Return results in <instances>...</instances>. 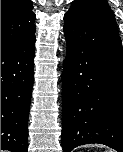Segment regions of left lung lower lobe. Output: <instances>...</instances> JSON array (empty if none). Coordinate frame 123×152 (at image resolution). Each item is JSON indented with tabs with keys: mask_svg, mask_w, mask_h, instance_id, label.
Listing matches in <instances>:
<instances>
[{
	"mask_svg": "<svg viewBox=\"0 0 123 152\" xmlns=\"http://www.w3.org/2000/svg\"><path fill=\"white\" fill-rule=\"evenodd\" d=\"M63 152L91 143L123 152V49L116 25L85 6L64 15Z\"/></svg>",
	"mask_w": 123,
	"mask_h": 152,
	"instance_id": "0a47b994",
	"label": "left lung lower lobe"
}]
</instances>
